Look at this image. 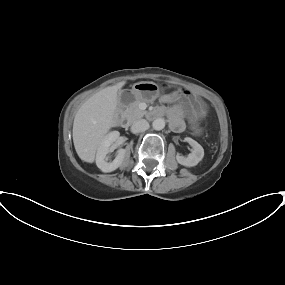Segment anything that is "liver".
Instances as JSON below:
<instances>
[{
  "label": "liver",
  "instance_id": "1",
  "mask_svg": "<svg viewBox=\"0 0 285 285\" xmlns=\"http://www.w3.org/2000/svg\"><path fill=\"white\" fill-rule=\"evenodd\" d=\"M125 85L119 82L95 93L77 111L73 123V143L82 161L93 163L96 151L115 125L118 93Z\"/></svg>",
  "mask_w": 285,
  "mask_h": 285
}]
</instances>
